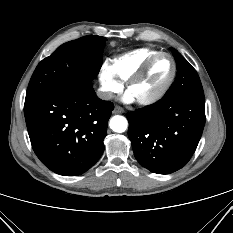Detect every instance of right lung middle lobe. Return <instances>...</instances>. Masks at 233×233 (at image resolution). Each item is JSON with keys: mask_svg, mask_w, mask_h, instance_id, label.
<instances>
[{"mask_svg": "<svg viewBox=\"0 0 233 233\" xmlns=\"http://www.w3.org/2000/svg\"><path fill=\"white\" fill-rule=\"evenodd\" d=\"M105 41L104 37L89 35L59 46L36 67L26 99L65 84L92 81L101 68Z\"/></svg>", "mask_w": 233, "mask_h": 233, "instance_id": "1", "label": "right lung middle lobe"}]
</instances>
